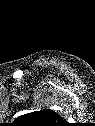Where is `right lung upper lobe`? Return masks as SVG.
<instances>
[{"label":"right lung upper lobe","mask_w":95,"mask_h":126,"mask_svg":"<svg viewBox=\"0 0 95 126\" xmlns=\"http://www.w3.org/2000/svg\"><path fill=\"white\" fill-rule=\"evenodd\" d=\"M20 126H66V121L55 111L43 109L22 115L16 119Z\"/></svg>","instance_id":"right-lung-upper-lobe-1"}]
</instances>
